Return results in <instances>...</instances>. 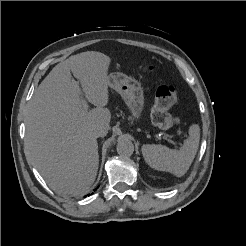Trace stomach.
Returning a JSON list of instances; mask_svg holds the SVG:
<instances>
[{
	"label": "stomach",
	"instance_id": "1",
	"mask_svg": "<svg viewBox=\"0 0 246 246\" xmlns=\"http://www.w3.org/2000/svg\"><path fill=\"white\" fill-rule=\"evenodd\" d=\"M108 76L109 86L121 95L133 118L139 119L144 108L141 85L135 79L123 73H111Z\"/></svg>",
	"mask_w": 246,
	"mask_h": 246
}]
</instances>
